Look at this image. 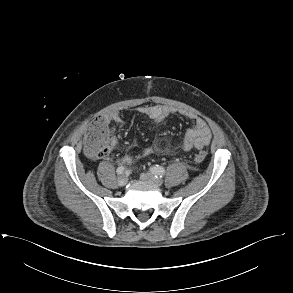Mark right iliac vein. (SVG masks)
I'll return each instance as SVG.
<instances>
[{"label":"right iliac vein","mask_w":293,"mask_h":293,"mask_svg":"<svg viewBox=\"0 0 293 293\" xmlns=\"http://www.w3.org/2000/svg\"><path fill=\"white\" fill-rule=\"evenodd\" d=\"M128 182V178L125 175H121L118 177V184L119 186H125Z\"/></svg>","instance_id":"1"}]
</instances>
